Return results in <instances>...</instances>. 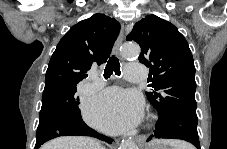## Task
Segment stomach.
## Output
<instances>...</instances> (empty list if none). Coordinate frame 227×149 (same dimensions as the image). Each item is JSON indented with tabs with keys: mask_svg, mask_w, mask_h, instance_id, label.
Listing matches in <instances>:
<instances>
[{
	"mask_svg": "<svg viewBox=\"0 0 227 149\" xmlns=\"http://www.w3.org/2000/svg\"><path fill=\"white\" fill-rule=\"evenodd\" d=\"M148 149H164V148L161 145H155L154 147Z\"/></svg>",
	"mask_w": 227,
	"mask_h": 149,
	"instance_id": "obj_1",
	"label": "stomach"
}]
</instances>
